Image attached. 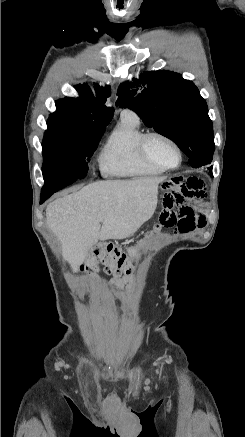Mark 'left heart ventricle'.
<instances>
[{
  "label": "left heart ventricle",
  "mask_w": 245,
  "mask_h": 437,
  "mask_svg": "<svg viewBox=\"0 0 245 437\" xmlns=\"http://www.w3.org/2000/svg\"><path fill=\"white\" fill-rule=\"evenodd\" d=\"M148 151L154 159L164 165L174 166L178 162V153L175 148L160 138H153L149 141Z\"/></svg>",
  "instance_id": "left-heart-ventricle-1"
}]
</instances>
